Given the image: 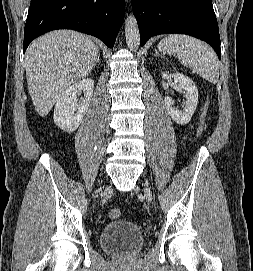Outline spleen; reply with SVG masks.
<instances>
[{
    "instance_id": "3e777b00",
    "label": "spleen",
    "mask_w": 253,
    "mask_h": 271,
    "mask_svg": "<svg viewBox=\"0 0 253 271\" xmlns=\"http://www.w3.org/2000/svg\"><path fill=\"white\" fill-rule=\"evenodd\" d=\"M163 53L175 55L179 62L212 84L219 78V62L213 50L204 42L181 34L164 37L158 44Z\"/></svg>"
}]
</instances>
